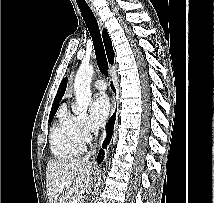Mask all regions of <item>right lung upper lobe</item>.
<instances>
[{"mask_svg": "<svg viewBox=\"0 0 214 203\" xmlns=\"http://www.w3.org/2000/svg\"><path fill=\"white\" fill-rule=\"evenodd\" d=\"M103 41H104V45H105V49H106V54L108 57V60L111 64H113L114 61V52H113V48H112V42L111 39L107 33L106 29H103ZM66 86H67V78H64L59 86V89L57 91V94L55 96L52 108H51V112L50 115H55L57 108L59 106V103L65 93L66 90Z\"/></svg>", "mask_w": 214, "mask_h": 203, "instance_id": "1", "label": "right lung upper lobe"}]
</instances>
